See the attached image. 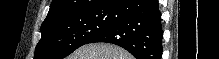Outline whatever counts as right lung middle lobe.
Masks as SVG:
<instances>
[{"instance_id": "obj_1", "label": "right lung middle lobe", "mask_w": 219, "mask_h": 59, "mask_svg": "<svg viewBox=\"0 0 219 59\" xmlns=\"http://www.w3.org/2000/svg\"><path fill=\"white\" fill-rule=\"evenodd\" d=\"M117 20L114 9L63 16L41 26L35 59H63L109 28Z\"/></svg>"}]
</instances>
